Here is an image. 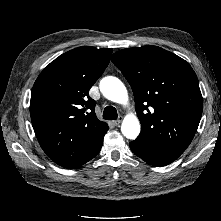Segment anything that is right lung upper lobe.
Returning <instances> with one entry per match:
<instances>
[{
    "instance_id": "1",
    "label": "right lung upper lobe",
    "mask_w": 221,
    "mask_h": 221,
    "mask_svg": "<svg viewBox=\"0 0 221 221\" xmlns=\"http://www.w3.org/2000/svg\"><path fill=\"white\" fill-rule=\"evenodd\" d=\"M112 49L83 46L52 61L32 89L30 115L46 155L66 168H77L95 157L107 123L95 114L88 92L107 67Z\"/></svg>"
}]
</instances>
